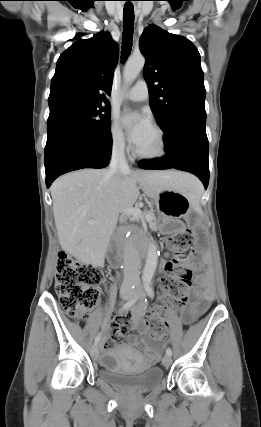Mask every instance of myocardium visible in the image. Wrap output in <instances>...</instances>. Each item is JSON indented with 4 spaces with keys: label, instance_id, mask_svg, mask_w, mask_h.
<instances>
[{
    "label": "myocardium",
    "instance_id": "f54148a6",
    "mask_svg": "<svg viewBox=\"0 0 261 427\" xmlns=\"http://www.w3.org/2000/svg\"><path fill=\"white\" fill-rule=\"evenodd\" d=\"M153 130L157 134L158 138V149L154 153H142L138 149L134 150V154L137 158L142 160H157L164 157L167 153V143L164 131L158 127L153 126Z\"/></svg>",
    "mask_w": 261,
    "mask_h": 427
}]
</instances>
